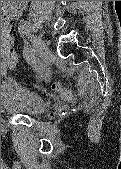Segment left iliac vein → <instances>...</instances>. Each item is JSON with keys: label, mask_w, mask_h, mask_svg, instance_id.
<instances>
[{"label": "left iliac vein", "mask_w": 121, "mask_h": 169, "mask_svg": "<svg viewBox=\"0 0 121 169\" xmlns=\"http://www.w3.org/2000/svg\"><path fill=\"white\" fill-rule=\"evenodd\" d=\"M34 44L41 58L47 60L50 56V49L48 48L46 43L42 40V38L36 37L34 40Z\"/></svg>", "instance_id": "left-iliac-vein-1"}]
</instances>
